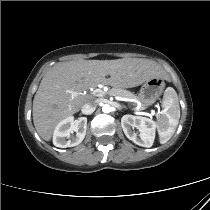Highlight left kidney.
<instances>
[{"label": "left kidney", "instance_id": "5707ae66", "mask_svg": "<svg viewBox=\"0 0 210 210\" xmlns=\"http://www.w3.org/2000/svg\"><path fill=\"white\" fill-rule=\"evenodd\" d=\"M121 126L126 137L135 144L142 147H151L155 139L156 123L146 117L124 115L121 118ZM137 128L140 132L139 138L137 133L132 129Z\"/></svg>", "mask_w": 210, "mask_h": 210}]
</instances>
